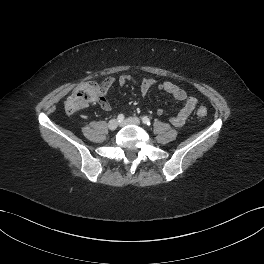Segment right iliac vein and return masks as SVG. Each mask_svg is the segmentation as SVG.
Instances as JSON below:
<instances>
[{"instance_id": "1", "label": "right iliac vein", "mask_w": 264, "mask_h": 264, "mask_svg": "<svg viewBox=\"0 0 264 264\" xmlns=\"http://www.w3.org/2000/svg\"><path fill=\"white\" fill-rule=\"evenodd\" d=\"M118 125H119L118 121L116 119H112L108 123V128L110 130H115L118 127Z\"/></svg>"}]
</instances>
